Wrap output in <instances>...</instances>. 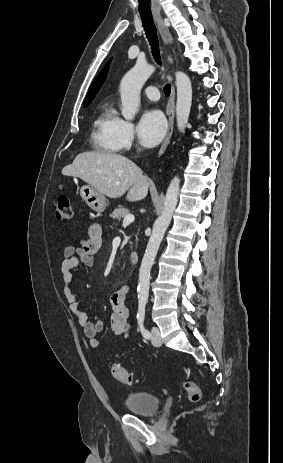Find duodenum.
Segmentation results:
<instances>
[{"mask_svg": "<svg viewBox=\"0 0 283 463\" xmlns=\"http://www.w3.org/2000/svg\"><path fill=\"white\" fill-rule=\"evenodd\" d=\"M138 259H139V258H138V254H137L136 252H134V253H132V254L130 255V263H131L132 265H136V264L138 263Z\"/></svg>", "mask_w": 283, "mask_h": 463, "instance_id": "410a0bca", "label": "duodenum"}]
</instances>
